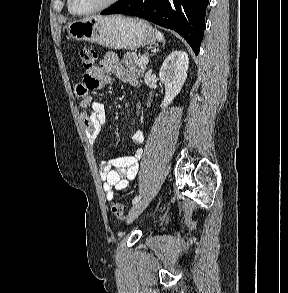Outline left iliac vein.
<instances>
[{
    "label": "left iliac vein",
    "instance_id": "1",
    "mask_svg": "<svg viewBox=\"0 0 288 293\" xmlns=\"http://www.w3.org/2000/svg\"><path fill=\"white\" fill-rule=\"evenodd\" d=\"M151 199L146 198L137 202L130 210L127 222L130 223L133 219H135L150 203Z\"/></svg>",
    "mask_w": 288,
    "mask_h": 293
}]
</instances>
